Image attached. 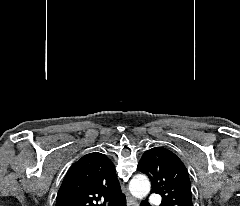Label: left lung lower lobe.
<instances>
[{"instance_id": "left-lung-lower-lobe-1", "label": "left lung lower lobe", "mask_w": 240, "mask_h": 206, "mask_svg": "<svg viewBox=\"0 0 240 206\" xmlns=\"http://www.w3.org/2000/svg\"><path fill=\"white\" fill-rule=\"evenodd\" d=\"M141 206H150V204L148 202H143Z\"/></svg>"}]
</instances>
